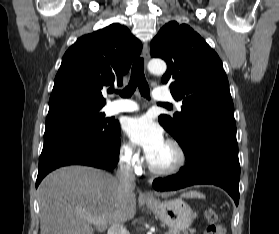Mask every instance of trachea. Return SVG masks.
I'll list each match as a JSON object with an SVG mask.
<instances>
[{"mask_svg": "<svg viewBox=\"0 0 279 234\" xmlns=\"http://www.w3.org/2000/svg\"><path fill=\"white\" fill-rule=\"evenodd\" d=\"M137 87L139 88V91L143 97L150 99V89L144 75L143 58H138L134 62L129 84L123 91H120L119 94L123 98H129L135 92ZM111 92H113V90ZM162 105L168 106L167 104Z\"/></svg>", "mask_w": 279, "mask_h": 234, "instance_id": "3493384b", "label": "trachea"}]
</instances>
